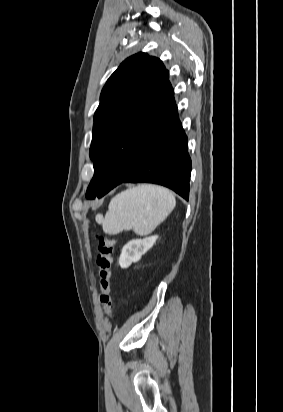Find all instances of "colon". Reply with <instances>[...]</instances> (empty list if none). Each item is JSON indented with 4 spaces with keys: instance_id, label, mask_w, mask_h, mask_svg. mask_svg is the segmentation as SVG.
<instances>
[{
    "instance_id": "5ec220e1",
    "label": "colon",
    "mask_w": 283,
    "mask_h": 412,
    "mask_svg": "<svg viewBox=\"0 0 283 412\" xmlns=\"http://www.w3.org/2000/svg\"><path fill=\"white\" fill-rule=\"evenodd\" d=\"M115 242L106 236H97V266L99 275V300L108 317L113 315V301L111 298V278L113 267V252Z\"/></svg>"
}]
</instances>
